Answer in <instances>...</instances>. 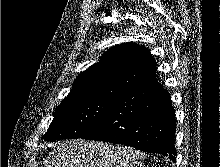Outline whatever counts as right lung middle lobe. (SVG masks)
Instances as JSON below:
<instances>
[{
    "label": "right lung middle lobe",
    "instance_id": "1",
    "mask_svg": "<svg viewBox=\"0 0 220 167\" xmlns=\"http://www.w3.org/2000/svg\"><path fill=\"white\" fill-rule=\"evenodd\" d=\"M114 98L90 96L64 99L43 136L45 141L81 138L106 114Z\"/></svg>",
    "mask_w": 220,
    "mask_h": 167
}]
</instances>
